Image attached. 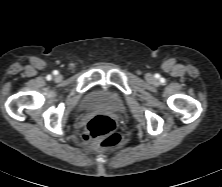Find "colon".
Wrapping results in <instances>:
<instances>
[{
    "mask_svg": "<svg viewBox=\"0 0 222 187\" xmlns=\"http://www.w3.org/2000/svg\"><path fill=\"white\" fill-rule=\"evenodd\" d=\"M83 138L88 144L103 148L116 147L122 142L116 121L112 117L102 114L96 115L88 121Z\"/></svg>",
    "mask_w": 222,
    "mask_h": 187,
    "instance_id": "colon-1",
    "label": "colon"
}]
</instances>
